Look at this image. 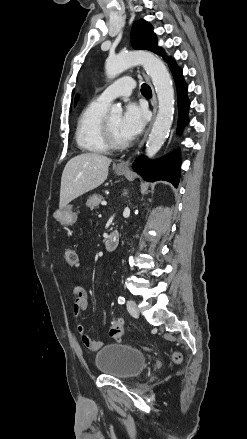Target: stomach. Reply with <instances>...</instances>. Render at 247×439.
Wrapping results in <instances>:
<instances>
[{
	"instance_id": "0dacf381",
	"label": "stomach",
	"mask_w": 247,
	"mask_h": 439,
	"mask_svg": "<svg viewBox=\"0 0 247 439\" xmlns=\"http://www.w3.org/2000/svg\"><path fill=\"white\" fill-rule=\"evenodd\" d=\"M118 175H123L126 170H116ZM54 217L64 225H73L77 220V214L72 210V206L67 205L62 209H58L54 213Z\"/></svg>"
}]
</instances>
